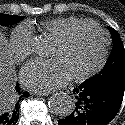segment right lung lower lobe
I'll return each mask as SVG.
<instances>
[{
	"label": "right lung lower lobe",
	"instance_id": "obj_1",
	"mask_svg": "<svg viewBox=\"0 0 125 125\" xmlns=\"http://www.w3.org/2000/svg\"><path fill=\"white\" fill-rule=\"evenodd\" d=\"M16 91L18 92V99L12 100L1 112H0V125H16L19 117V101L24 97H29L28 92H20L19 84L16 85Z\"/></svg>",
	"mask_w": 125,
	"mask_h": 125
}]
</instances>
